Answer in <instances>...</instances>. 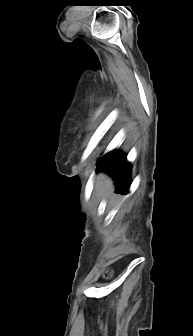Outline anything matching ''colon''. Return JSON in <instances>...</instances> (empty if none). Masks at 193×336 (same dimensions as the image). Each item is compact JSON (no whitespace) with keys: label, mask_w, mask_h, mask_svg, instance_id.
I'll list each match as a JSON object with an SVG mask.
<instances>
[{"label":"colon","mask_w":193,"mask_h":336,"mask_svg":"<svg viewBox=\"0 0 193 336\" xmlns=\"http://www.w3.org/2000/svg\"><path fill=\"white\" fill-rule=\"evenodd\" d=\"M112 275V270L111 269H107L105 272V276L106 277H110Z\"/></svg>","instance_id":"obj_1"}]
</instances>
